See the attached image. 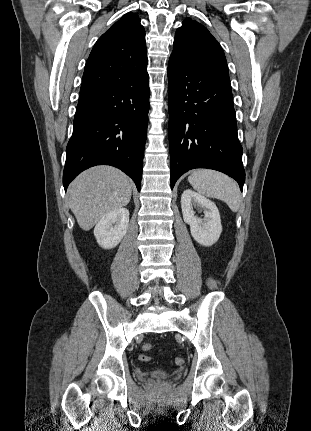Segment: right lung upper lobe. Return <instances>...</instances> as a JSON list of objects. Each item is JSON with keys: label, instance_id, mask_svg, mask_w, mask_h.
<instances>
[{"label": "right lung upper lobe", "instance_id": "cb5924a9", "mask_svg": "<svg viewBox=\"0 0 311 431\" xmlns=\"http://www.w3.org/2000/svg\"><path fill=\"white\" fill-rule=\"evenodd\" d=\"M146 66L145 29L137 14L128 13L95 43L85 65L80 93L131 80Z\"/></svg>", "mask_w": 311, "mask_h": 431}]
</instances>
